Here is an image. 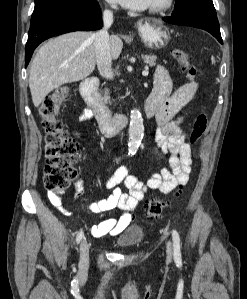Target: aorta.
I'll return each instance as SVG.
<instances>
[{"label":"aorta","instance_id":"aorta-1","mask_svg":"<svg viewBox=\"0 0 247 299\" xmlns=\"http://www.w3.org/2000/svg\"><path fill=\"white\" fill-rule=\"evenodd\" d=\"M144 134L143 118L139 110L133 109L130 113V124L128 129L129 141L128 151L130 154H135L141 144V139Z\"/></svg>","mask_w":247,"mask_h":299}]
</instances>
